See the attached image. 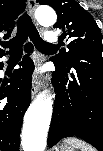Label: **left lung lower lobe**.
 <instances>
[{
	"instance_id": "1",
	"label": "left lung lower lobe",
	"mask_w": 103,
	"mask_h": 151,
	"mask_svg": "<svg viewBox=\"0 0 103 151\" xmlns=\"http://www.w3.org/2000/svg\"><path fill=\"white\" fill-rule=\"evenodd\" d=\"M54 64L52 84L58 101L53 109L48 147L64 137L76 136L103 151L102 52L80 53L64 67Z\"/></svg>"
}]
</instances>
